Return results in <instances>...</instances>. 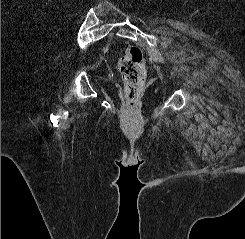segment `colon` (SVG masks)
I'll list each match as a JSON object with an SVG mask.
<instances>
[{"instance_id": "1", "label": "colon", "mask_w": 245, "mask_h": 239, "mask_svg": "<svg viewBox=\"0 0 245 239\" xmlns=\"http://www.w3.org/2000/svg\"><path fill=\"white\" fill-rule=\"evenodd\" d=\"M124 84L125 95L130 105L139 98L146 77V63L139 47L130 45L118 61Z\"/></svg>"}]
</instances>
